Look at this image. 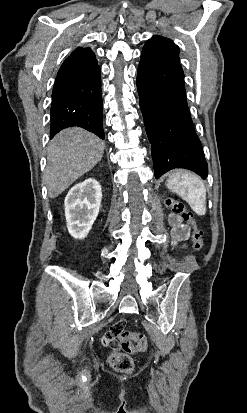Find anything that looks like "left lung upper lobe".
Wrapping results in <instances>:
<instances>
[{"label":"left lung upper lobe","instance_id":"left-lung-upper-lobe-1","mask_svg":"<svg viewBox=\"0 0 247 413\" xmlns=\"http://www.w3.org/2000/svg\"><path fill=\"white\" fill-rule=\"evenodd\" d=\"M144 47L156 48L176 58H179V47L172 40L162 36H153L152 39L146 42Z\"/></svg>","mask_w":247,"mask_h":413}]
</instances>
